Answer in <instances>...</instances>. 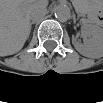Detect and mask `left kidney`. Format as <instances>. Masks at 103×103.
<instances>
[{"instance_id":"5707ae66","label":"left kidney","mask_w":103,"mask_h":103,"mask_svg":"<svg viewBox=\"0 0 103 103\" xmlns=\"http://www.w3.org/2000/svg\"><path fill=\"white\" fill-rule=\"evenodd\" d=\"M88 37L86 44L73 43L75 49L82 55L90 58H99L102 56L103 39L102 35L92 32H84Z\"/></svg>"}]
</instances>
